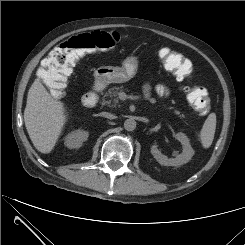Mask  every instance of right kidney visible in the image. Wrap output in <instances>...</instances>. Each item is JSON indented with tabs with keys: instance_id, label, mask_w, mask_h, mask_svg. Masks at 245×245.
Returning <instances> with one entry per match:
<instances>
[{
	"instance_id": "1",
	"label": "right kidney",
	"mask_w": 245,
	"mask_h": 245,
	"mask_svg": "<svg viewBox=\"0 0 245 245\" xmlns=\"http://www.w3.org/2000/svg\"><path fill=\"white\" fill-rule=\"evenodd\" d=\"M88 132L84 130H75L71 133H69L65 137V146L74 149L79 148L82 146L83 142L87 140L88 138Z\"/></svg>"
}]
</instances>
